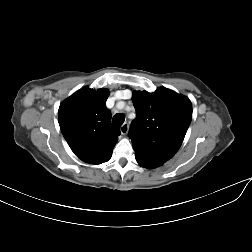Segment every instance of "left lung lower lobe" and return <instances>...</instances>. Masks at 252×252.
Masks as SVG:
<instances>
[{"label": "left lung lower lobe", "mask_w": 252, "mask_h": 252, "mask_svg": "<svg viewBox=\"0 0 252 252\" xmlns=\"http://www.w3.org/2000/svg\"><path fill=\"white\" fill-rule=\"evenodd\" d=\"M135 158L140 166L148 168V169L156 168V167H159L163 164V162H161V161L147 157V156H145L141 153H138V152H135Z\"/></svg>", "instance_id": "1"}]
</instances>
